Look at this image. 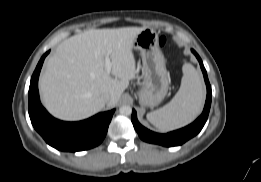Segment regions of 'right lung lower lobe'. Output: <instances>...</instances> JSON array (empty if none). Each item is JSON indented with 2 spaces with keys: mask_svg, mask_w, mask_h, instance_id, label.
<instances>
[{
  "mask_svg": "<svg viewBox=\"0 0 261 182\" xmlns=\"http://www.w3.org/2000/svg\"><path fill=\"white\" fill-rule=\"evenodd\" d=\"M46 52L40 59L29 87V116L35 130L52 147L61 151L76 152L99 145L108 130L115 110L99 113L87 120L64 122L52 117L41 105L38 78Z\"/></svg>",
  "mask_w": 261,
  "mask_h": 182,
  "instance_id": "obj_1",
  "label": "right lung lower lobe"
}]
</instances>
